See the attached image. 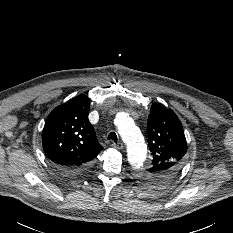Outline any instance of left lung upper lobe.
I'll return each mask as SVG.
<instances>
[{
	"instance_id": "obj_1",
	"label": "left lung upper lobe",
	"mask_w": 233,
	"mask_h": 233,
	"mask_svg": "<svg viewBox=\"0 0 233 233\" xmlns=\"http://www.w3.org/2000/svg\"><path fill=\"white\" fill-rule=\"evenodd\" d=\"M150 111L148 143L153 159L142 177L152 184H160L179 172L187 152V142L182 124L172 110L154 103Z\"/></svg>"
}]
</instances>
